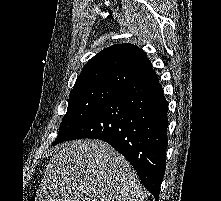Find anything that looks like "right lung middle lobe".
I'll use <instances>...</instances> for the list:
<instances>
[{
	"mask_svg": "<svg viewBox=\"0 0 221 201\" xmlns=\"http://www.w3.org/2000/svg\"><path fill=\"white\" fill-rule=\"evenodd\" d=\"M118 91L119 89L103 86L72 90L67 112L52 145L65 141Z\"/></svg>",
	"mask_w": 221,
	"mask_h": 201,
	"instance_id": "right-lung-middle-lobe-1",
	"label": "right lung middle lobe"
}]
</instances>
